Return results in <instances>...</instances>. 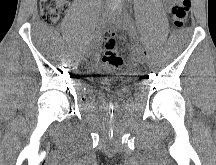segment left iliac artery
Wrapping results in <instances>:
<instances>
[{"label":"left iliac artery","instance_id":"obj_1","mask_svg":"<svg viewBox=\"0 0 216 165\" xmlns=\"http://www.w3.org/2000/svg\"><path fill=\"white\" fill-rule=\"evenodd\" d=\"M126 16H127L128 20L130 21L131 26L135 30L134 22H133V19H132L131 15L128 12H126Z\"/></svg>","mask_w":216,"mask_h":165}]
</instances>
